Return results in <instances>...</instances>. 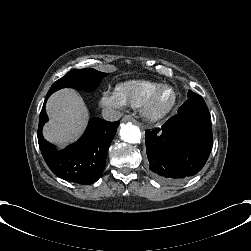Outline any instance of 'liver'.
<instances>
[{
  "mask_svg": "<svg viewBox=\"0 0 251 251\" xmlns=\"http://www.w3.org/2000/svg\"><path fill=\"white\" fill-rule=\"evenodd\" d=\"M45 110L49 120L42 127V136L54 145L56 153L77 142L87 129L89 109L73 88H62L52 93Z\"/></svg>",
  "mask_w": 251,
  "mask_h": 251,
  "instance_id": "obj_1",
  "label": "liver"
}]
</instances>
